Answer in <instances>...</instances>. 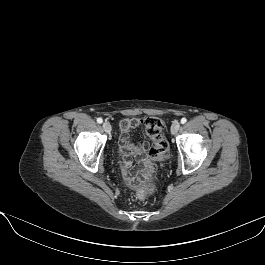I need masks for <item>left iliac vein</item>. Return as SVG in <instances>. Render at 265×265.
I'll return each mask as SVG.
<instances>
[{
	"instance_id": "left-iliac-vein-1",
	"label": "left iliac vein",
	"mask_w": 265,
	"mask_h": 265,
	"mask_svg": "<svg viewBox=\"0 0 265 265\" xmlns=\"http://www.w3.org/2000/svg\"><path fill=\"white\" fill-rule=\"evenodd\" d=\"M180 128V123L178 121H175L171 126V134L175 135L177 134L178 130Z\"/></svg>"
}]
</instances>
